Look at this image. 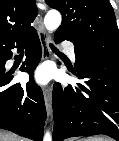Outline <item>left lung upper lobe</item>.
Segmentation results:
<instances>
[{
    "instance_id": "obj_1",
    "label": "left lung upper lobe",
    "mask_w": 119,
    "mask_h": 141,
    "mask_svg": "<svg viewBox=\"0 0 119 141\" xmlns=\"http://www.w3.org/2000/svg\"><path fill=\"white\" fill-rule=\"evenodd\" d=\"M62 13L56 35L67 37L75 53L90 59L119 61L118 27L109 0H46Z\"/></svg>"
}]
</instances>
